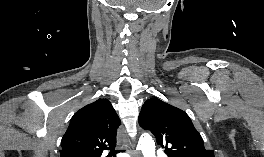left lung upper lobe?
<instances>
[{"mask_svg":"<svg viewBox=\"0 0 264 157\" xmlns=\"http://www.w3.org/2000/svg\"><path fill=\"white\" fill-rule=\"evenodd\" d=\"M139 123L154 134L157 144L165 148L168 157H214L212 150L205 149L189 116L158 98L145 101Z\"/></svg>","mask_w":264,"mask_h":157,"instance_id":"1","label":"left lung upper lobe"}]
</instances>
